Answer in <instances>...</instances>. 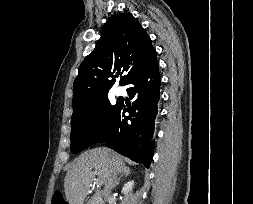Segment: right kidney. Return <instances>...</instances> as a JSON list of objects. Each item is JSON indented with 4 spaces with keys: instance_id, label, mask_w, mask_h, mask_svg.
I'll list each match as a JSON object with an SVG mask.
<instances>
[{
    "instance_id": "obj_1",
    "label": "right kidney",
    "mask_w": 253,
    "mask_h": 204,
    "mask_svg": "<svg viewBox=\"0 0 253 204\" xmlns=\"http://www.w3.org/2000/svg\"><path fill=\"white\" fill-rule=\"evenodd\" d=\"M133 186H134V181L127 182L122 188V193L126 195L127 193H129V191L132 190Z\"/></svg>"
}]
</instances>
